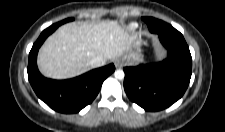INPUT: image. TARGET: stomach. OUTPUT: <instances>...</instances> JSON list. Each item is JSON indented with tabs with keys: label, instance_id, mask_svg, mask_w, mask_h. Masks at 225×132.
Segmentation results:
<instances>
[{
	"label": "stomach",
	"instance_id": "obj_1",
	"mask_svg": "<svg viewBox=\"0 0 225 132\" xmlns=\"http://www.w3.org/2000/svg\"><path fill=\"white\" fill-rule=\"evenodd\" d=\"M141 45V41L140 40H136L134 42V47L137 48L136 51H132L126 55H124L122 57V59L124 60V62L128 65H134L137 64L139 62H141L143 60V55L141 54L139 47Z\"/></svg>",
	"mask_w": 225,
	"mask_h": 132
}]
</instances>
